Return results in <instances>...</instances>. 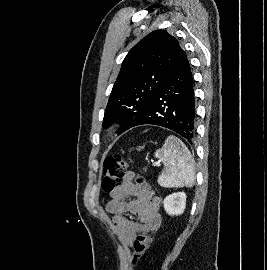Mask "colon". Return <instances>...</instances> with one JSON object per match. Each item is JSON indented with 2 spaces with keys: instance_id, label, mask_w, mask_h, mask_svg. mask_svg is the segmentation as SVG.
<instances>
[{
  "instance_id": "colon-1",
  "label": "colon",
  "mask_w": 267,
  "mask_h": 270,
  "mask_svg": "<svg viewBox=\"0 0 267 270\" xmlns=\"http://www.w3.org/2000/svg\"><path fill=\"white\" fill-rule=\"evenodd\" d=\"M130 167V162L119 154L108 156L104 161V177L102 180V189L106 193H111L119 184L120 180L126 175ZM135 182L145 184L146 179L141 174H136ZM151 237L148 234H138L132 254V263L135 265L146 254L150 247Z\"/></svg>"
}]
</instances>
